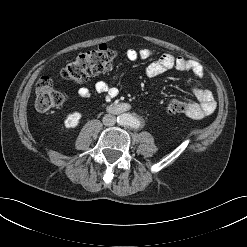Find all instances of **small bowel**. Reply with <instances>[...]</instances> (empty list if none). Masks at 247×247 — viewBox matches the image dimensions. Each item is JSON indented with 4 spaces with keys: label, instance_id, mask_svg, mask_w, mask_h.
I'll return each instance as SVG.
<instances>
[{
    "label": "small bowel",
    "instance_id": "small-bowel-1",
    "mask_svg": "<svg viewBox=\"0 0 247 247\" xmlns=\"http://www.w3.org/2000/svg\"><path fill=\"white\" fill-rule=\"evenodd\" d=\"M154 55L155 51L147 48L141 50L129 49L126 52L127 58L131 61L145 60ZM170 69L189 71L199 79L204 77V69L200 63L184 57H175L170 53L160 54L157 60L151 62L146 67L145 73L148 77H155ZM94 90L96 93L103 94L109 98H114L119 93L117 88L110 86L104 81L97 82ZM193 92L198 100V104L192 106V109L187 113V116L193 119H201L211 114L216 108L212 92L199 86H194ZM78 94L83 99H91L93 96L92 90L85 87L80 88Z\"/></svg>",
    "mask_w": 247,
    "mask_h": 247
}]
</instances>
